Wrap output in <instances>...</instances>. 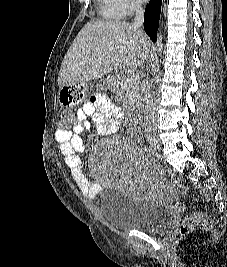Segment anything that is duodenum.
Here are the masks:
<instances>
[{
  "label": "duodenum",
  "mask_w": 227,
  "mask_h": 267,
  "mask_svg": "<svg viewBox=\"0 0 227 267\" xmlns=\"http://www.w3.org/2000/svg\"><path fill=\"white\" fill-rule=\"evenodd\" d=\"M140 118V115L138 113H135L134 114V120L138 121Z\"/></svg>",
  "instance_id": "410a0bca"
}]
</instances>
